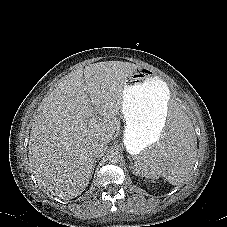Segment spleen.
Listing matches in <instances>:
<instances>
[{
  "mask_svg": "<svg viewBox=\"0 0 227 227\" xmlns=\"http://www.w3.org/2000/svg\"><path fill=\"white\" fill-rule=\"evenodd\" d=\"M190 112L177 106L171 112L169 134L157 152L147 150L136 159L137 173L147 179L164 177L172 185L183 183L190 174L197 156V140L189 124Z\"/></svg>",
  "mask_w": 227,
  "mask_h": 227,
  "instance_id": "spleen-1",
  "label": "spleen"
}]
</instances>
